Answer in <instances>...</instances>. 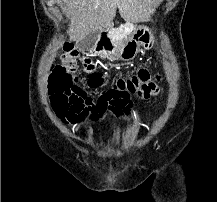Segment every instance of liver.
Instances as JSON below:
<instances>
[{
	"mask_svg": "<svg viewBox=\"0 0 217 202\" xmlns=\"http://www.w3.org/2000/svg\"><path fill=\"white\" fill-rule=\"evenodd\" d=\"M70 18V42H81L91 32L112 28L118 8L125 22H148L163 0H58Z\"/></svg>",
	"mask_w": 217,
	"mask_h": 202,
	"instance_id": "obj_1",
	"label": "liver"
}]
</instances>
